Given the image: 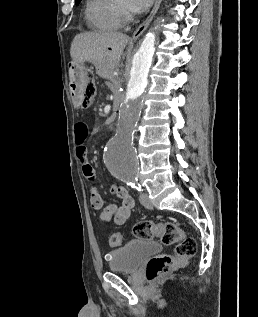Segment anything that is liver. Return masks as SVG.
<instances>
[{"mask_svg": "<svg viewBox=\"0 0 258 317\" xmlns=\"http://www.w3.org/2000/svg\"><path fill=\"white\" fill-rule=\"evenodd\" d=\"M129 40L127 34L117 30L80 32L73 38L70 54L73 62H92L101 72H111L121 58Z\"/></svg>", "mask_w": 258, "mask_h": 317, "instance_id": "obj_1", "label": "liver"}]
</instances>
